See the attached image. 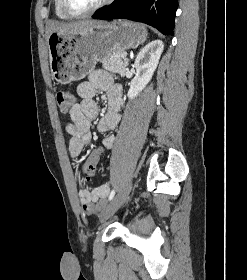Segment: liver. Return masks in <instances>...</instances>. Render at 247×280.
<instances>
[{"label":"liver","instance_id":"obj_1","mask_svg":"<svg viewBox=\"0 0 247 280\" xmlns=\"http://www.w3.org/2000/svg\"><path fill=\"white\" fill-rule=\"evenodd\" d=\"M101 23L103 22L95 21V20H82V21H76L71 23L54 22L51 24L49 28V33H53V32H57L61 34L82 33Z\"/></svg>","mask_w":247,"mask_h":280}]
</instances>
